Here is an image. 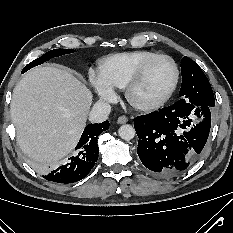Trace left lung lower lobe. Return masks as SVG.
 Listing matches in <instances>:
<instances>
[{
	"label": "left lung lower lobe",
	"mask_w": 233,
	"mask_h": 233,
	"mask_svg": "<svg viewBox=\"0 0 233 233\" xmlns=\"http://www.w3.org/2000/svg\"><path fill=\"white\" fill-rule=\"evenodd\" d=\"M209 106L178 101L134 120L138 135V156L154 174L171 177L179 174L200 156L211 127ZM192 115L203 121L194 125Z\"/></svg>",
	"instance_id": "left-lung-lower-lobe-1"
}]
</instances>
